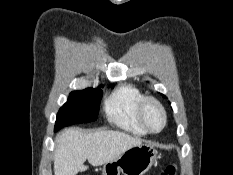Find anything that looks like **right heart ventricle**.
Returning <instances> with one entry per match:
<instances>
[{
    "label": "right heart ventricle",
    "mask_w": 233,
    "mask_h": 175,
    "mask_svg": "<svg viewBox=\"0 0 233 175\" xmlns=\"http://www.w3.org/2000/svg\"><path fill=\"white\" fill-rule=\"evenodd\" d=\"M144 97V94L131 84L118 86L104 101L106 118L122 130L145 135L147 131L138 117V106Z\"/></svg>",
    "instance_id": "1"
}]
</instances>
